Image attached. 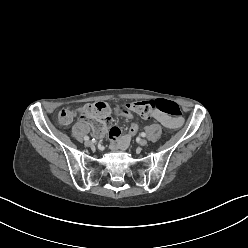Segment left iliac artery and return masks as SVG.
Returning <instances> with one entry per match:
<instances>
[{
  "label": "left iliac artery",
  "instance_id": "1",
  "mask_svg": "<svg viewBox=\"0 0 248 248\" xmlns=\"http://www.w3.org/2000/svg\"><path fill=\"white\" fill-rule=\"evenodd\" d=\"M141 136H142V137H145V136H146V134H145L144 132H142V133H141Z\"/></svg>",
  "mask_w": 248,
  "mask_h": 248
}]
</instances>
